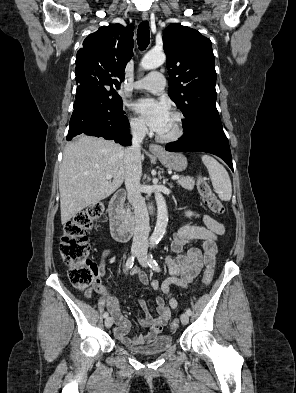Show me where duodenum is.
Masks as SVG:
<instances>
[{"label":"duodenum","instance_id":"obj_1","mask_svg":"<svg viewBox=\"0 0 296 393\" xmlns=\"http://www.w3.org/2000/svg\"><path fill=\"white\" fill-rule=\"evenodd\" d=\"M125 198V190H118L112 196L108 208L111 233L118 242H126L133 235V226L125 217L123 210Z\"/></svg>","mask_w":296,"mask_h":393}]
</instances>
